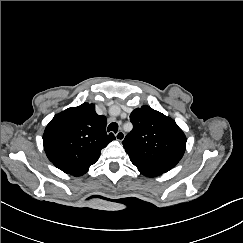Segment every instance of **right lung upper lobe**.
Masks as SVG:
<instances>
[{
	"instance_id": "right-lung-upper-lobe-1",
	"label": "right lung upper lobe",
	"mask_w": 243,
	"mask_h": 243,
	"mask_svg": "<svg viewBox=\"0 0 243 243\" xmlns=\"http://www.w3.org/2000/svg\"><path fill=\"white\" fill-rule=\"evenodd\" d=\"M106 124V117L97 115L94 104L83 103L62 111L44 131L47 157L65 173L85 174L99 159L100 151L115 139L112 133H106Z\"/></svg>"
}]
</instances>
